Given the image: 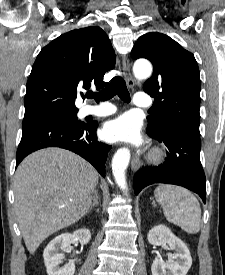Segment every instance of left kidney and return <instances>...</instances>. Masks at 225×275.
I'll return each instance as SVG.
<instances>
[{
  "mask_svg": "<svg viewBox=\"0 0 225 275\" xmlns=\"http://www.w3.org/2000/svg\"><path fill=\"white\" fill-rule=\"evenodd\" d=\"M151 245L160 246L168 244L176 253L172 255L170 263L164 262L160 257L153 260L152 275H186L192 265L190 251L185 243L177 238L169 228L164 225L153 227L147 236Z\"/></svg>",
  "mask_w": 225,
  "mask_h": 275,
  "instance_id": "5707ae66",
  "label": "left kidney"
}]
</instances>
